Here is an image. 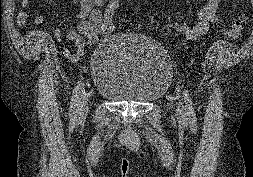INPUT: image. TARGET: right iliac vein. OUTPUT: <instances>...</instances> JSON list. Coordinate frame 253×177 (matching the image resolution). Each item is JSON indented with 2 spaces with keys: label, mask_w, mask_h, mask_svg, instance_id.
I'll return each instance as SVG.
<instances>
[{
  "label": "right iliac vein",
  "mask_w": 253,
  "mask_h": 177,
  "mask_svg": "<svg viewBox=\"0 0 253 177\" xmlns=\"http://www.w3.org/2000/svg\"><path fill=\"white\" fill-rule=\"evenodd\" d=\"M88 98V94L84 93L79 99L77 113L80 117L84 116L88 110Z\"/></svg>",
  "instance_id": "63e3f726"
}]
</instances>
